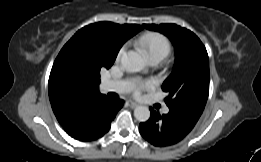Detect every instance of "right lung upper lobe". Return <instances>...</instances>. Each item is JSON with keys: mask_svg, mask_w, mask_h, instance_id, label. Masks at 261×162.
<instances>
[{"mask_svg": "<svg viewBox=\"0 0 261 162\" xmlns=\"http://www.w3.org/2000/svg\"><path fill=\"white\" fill-rule=\"evenodd\" d=\"M141 29L142 27L137 24L119 25L106 21L94 23L76 32L65 46H75L79 49H85L86 47L93 48L98 38L103 34L115 35L122 46L127 39L138 33ZM99 82L100 78L88 81L73 90H59L52 85L49 79V99L53 112L61 125L69 122L76 114L92 105L95 101L106 98L105 95L99 93Z\"/></svg>", "mask_w": 261, "mask_h": 162, "instance_id": "cb5924a9", "label": "right lung upper lobe"}]
</instances>
